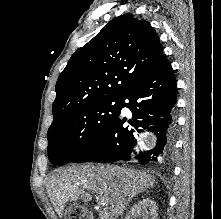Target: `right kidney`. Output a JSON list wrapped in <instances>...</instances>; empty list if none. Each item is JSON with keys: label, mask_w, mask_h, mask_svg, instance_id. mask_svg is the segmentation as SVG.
Returning a JSON list of instances; mask_svg holds the SVG:
<instances>
[{"label": "right kidney", "mask_w": 221, "mask_h": 219, "mask_svg": "<svg viewBox=\"0 0 221 219\" xmlns=\"http://www.w3.org/2000/svg\"><path fill=\"white\" fill-rule=\"evenodd\" d=\"M125 219H158L156 202L149 198L138 201Z\"/></svg>", "instance_id": "ca27d5eb"}]
</instances>
